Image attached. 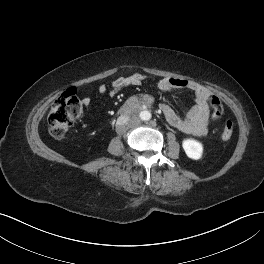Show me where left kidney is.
Segmentation results:
<instances>
[{
	"label": "left kidney",
	"instance_id": "5707ae66",
	"mask_svg": "<svg viewBox=\"0 0 264 264\" xmlns=\"http://www.w3.org/2000/svg\"><path fill=\"white\" fill-rule=\"evenodd\" d=\"M182 147L189 158L199 160L202 157L203 146L200 142L194 139H185L182 142Z\"/></svg>",
	"mask_w": 264,
	"mask_h": 264
}]
</instances>
